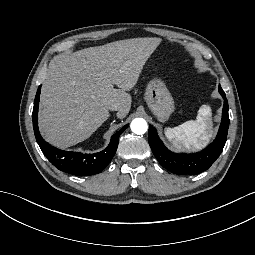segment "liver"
Segmentation results:
<instances>
[{
  "label": "liver",
  "instance_id": "liver-1",
  "mask_svg": "<svg viewBox=\"0 0 255 255\" xmlns=\"http://www.w3.org/2000/svg\"><path fill=\"white\" fill-rule=\"evenodd\" d=\"M161 38L111 42L52 60L41 89L39 128L54 146L66 148L89 138L118 103L117 117L129 113L130 91ZM117 85L119 89H115Z\"/></svg>",
  "mask_w": 255,
  "mask_h": 255
}]
</instances>
